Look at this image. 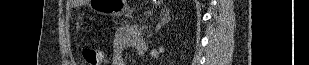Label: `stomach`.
<instances>
[{
	"mask_svg": "<svg viewBox=\"0 0 309 65\" xmlns=\"http://www.w3.org/2000/svg\"><path fill=\"white\" fill-rule=\"evenodd\" d=\"M94 9L103 15L121 16L127 10V0H93Z\"/></svg>",
	"mask_w": 309,
	"mask_h": 65,
	"instance_id": "1",
	"label": "stomach"
}]
</instances>
